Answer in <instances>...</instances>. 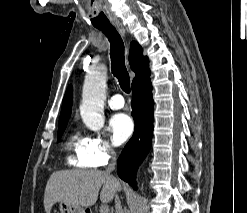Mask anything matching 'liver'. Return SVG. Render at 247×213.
Wrapping results in <instances>:
<instances>
[{
  "instance_id": "liver-1",
  "label": "liver",
  "mask_w": 247,
  "mask_h": 213,
  "mask_svg": "<svg viewBox=\"0 0 247 213\" xmlns=\"http://www.w3.org/2000/svg\"><path fill=\"white\" fill-rule=\"evenodd\" d=\"M119 181L101 170H63L54 172L46 185L44 207L50 213L57 202H64L81 207H90L98 199L109 203L120 189Z\"/></svg>"
}]
</instances>
